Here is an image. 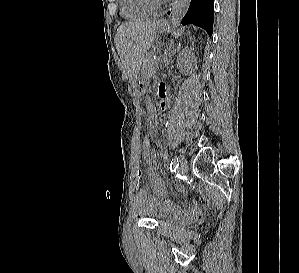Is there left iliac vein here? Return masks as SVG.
I'll return each instance as SVG.
<instances>
[{"label": "left iliac vein", "mask_w": 299, "mask_h": 273, "mask_svg": "<svg viewBox=\"0 0 299 273\" xmlns=\"http://www.w3.org/2000/svg\"><path fill=\"white\" fill-rule=\"evenodd\" d=\"M188 168L187 160L184 158V156H179V165H178V171L180 174H184Z\"/></svg>", "instance_id": "4c4485c4"}]
</instances>
